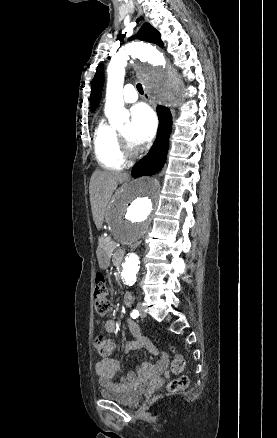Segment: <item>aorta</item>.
I'll list each match as a JSON object with an SVG mask.
<instances>
[{
  "mask_svg": "<svg viewBox=\"0 0 277 438\" xmlns=\"http://www.w3.org/2000/svg\"><path fill=\"white\" fill-rule=\"evenodd\" d=\"M142 64L137 73L146 90L169 107L177 106L183 95V82L177 72L167 64L163 55L144 43H131L113 56L107 67L105 114L111 126L117 128L129 120L124 108L123 84L129 57ZM160 185L155 178L143 177L126 186L114 199L109 212V227L118 242L128 248L142 239L151 229L159 201ZM139 257L129 251L122 264L121 278L133 285L139 271Z\"/></svg>",
  "mask_w": 277,
  "mask_h": 438,
  "instance_id": "obj_1",
  "label": "aorta"
}]
</instances>
